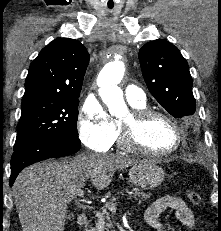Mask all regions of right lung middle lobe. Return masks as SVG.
Wrapping results in <instances>:
<instances>
[{"label": "right lung middle lobe", "mask_w": 221, "mask_h": 231, "mask_svg": "<svg viewBox=\"0 0 221 231\" xmlns=\"http://www.w3.org/2000/svg\"><path fill=\"white\" fill-rule=\"evenodd\" d=\"M78 105V97H36L22 100L14 150L39 138L79 140Z\"/></svg>", "instance_id": "1"}]
</instances>
